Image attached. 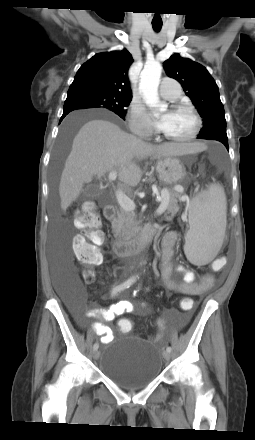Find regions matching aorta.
Wrapping results in <instances>:
<instances>
[{
  "mask_svg": "<svg viewBox=\"0 0 255 440\" xmlns=\"http://www.w3.org/2000/svg\"><path fill=\"white\" fill-rule=\"evenodd\" d=\"M161 73L162 66L159 62L153 61L146 63L140 74L139 90L148 106L164 111L167 105L161 104L158 96Z\"/></svg>",
  "mask_w": 255,
  "mask_h": 440,
  "instance_id": "aorta-1",
  "label": "aorta"
}]
</instances>
